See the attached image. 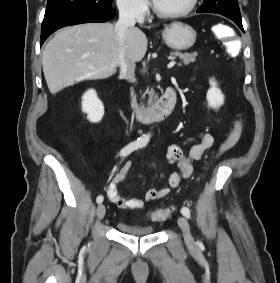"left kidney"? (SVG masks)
Masks as SVG:
<instances>
[{
	"mask_svg": "<svg viewBox=\"0 0 280 283\" xmlns=\"http://www.w3.org/2000/svg\"><path fill=\"white\" fill-rule=\"evenodd\" d=\"M209 83L211 87L206 96L208 106L213 109H218L224 103V95L217 87V83L214 79H210Z\"/></svg>",
	"mask_w": 280,
	"mask_h": 283,
	"instance_id": "obj_1",
	"label": "left kidney"
}]
</instances>
